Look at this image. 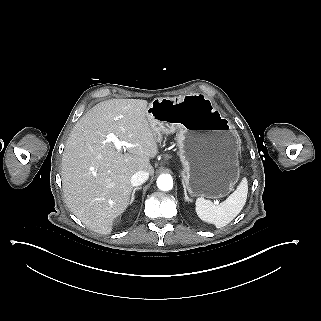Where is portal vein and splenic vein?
Listing matches in <instances>:
<instances>
[{
  "mask_svg": "<svg viewBox=\"0 0 321 321\" xmlns=\"http://www.w3.org/2000/svg\"><path fill=\"white\" fill-rule=\"evenodd\" d=\"M106 142L110 143L113 142L117 148H121L122 146L128 147V148H134L137 147L135 144H128L124 141H120L119 138L112 132H110L107 137H106ZM213 204L214 206H219L221 204V199L220 198H213Z\"/></svg>",
  "mask_w": 321,
  "mask_h": 321,
  "instance_id": "18ae733b",
  "label": "portal vein and splenic vein"
}]
</instances>
